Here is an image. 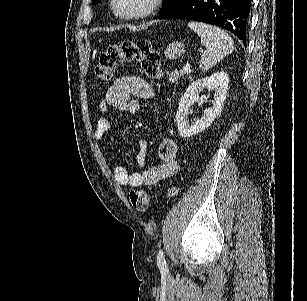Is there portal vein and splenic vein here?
Instances as JSON below:
<instances>
[{
	"mask_svg": "<svg viewBox=\"0 0 307 301\" xmlns=\"http://www.w3.org/2000/svg\"><path fill=\"white\" fill-rule=\"evenodd\" d=\"M183 70H186V72H191V64L187 62V64H184Z\"/></svg>",
	"mask_w": 307,
	"mask_h": 301,
	"instance_id": "18ae733b",
	"label": "portal vein and splenic vein"
}]
</instances>
